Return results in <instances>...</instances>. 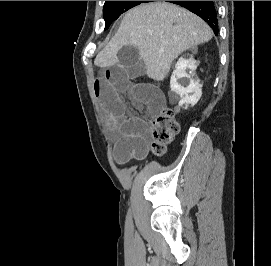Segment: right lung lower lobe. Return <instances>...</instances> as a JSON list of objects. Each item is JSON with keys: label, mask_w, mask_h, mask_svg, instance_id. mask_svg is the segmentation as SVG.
<instances>
[{"label": "right lung lower lobe", "mask_w": 271, "mask_h": 266, "mask_svg": "<svg viewBox=\"0 0 271 266\" xmlns=\"http://www.w3.org/2000/svg\"><path fill=\"white\" fill-rule=\"evenodd\" d=\"M187 8L200 16L218 34V19L214 1H167Z\"/></svg>", "instance_id": "1"}]
</instances>
